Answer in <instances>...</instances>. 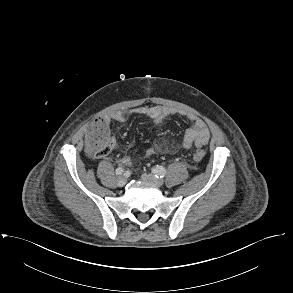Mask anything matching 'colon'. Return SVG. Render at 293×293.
<instances>
[{"label":"colon","mask_w":293,"mask_h":293,"mask_svg":"<svg viewBox=\"0 0 293 293\" xmlns=\"http://www.w3.org/2000/svg\"><path fill=\"white\" fill-rule=\"evenodd\" d=\"M113 147L114 139L107 122L102 118L94 119L86 133V149L88 153L94 158H99L105 156ZM193 156L199 162L204 159L205 152L198 149Z\"/></svg>","instance_id":"obj_1"}]
</instances>
